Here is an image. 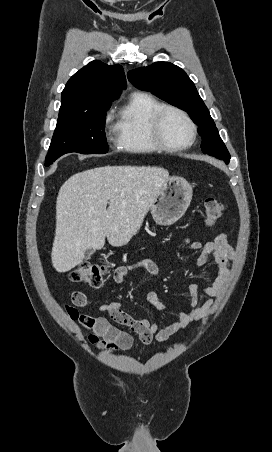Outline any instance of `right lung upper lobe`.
<instances>
[{"label": "right lung upper lobe", "instance_id": "1", "mask_svg": "<svg viewBox=\"0 0 272 452\" xmlns=\"http://www.w3.org/2000/svg\"><path fill=\"white\" fill-rule=\"evenodd\" d=\"M125 88L126 78L120 65L92 61L67 82L61 95L59 118L110 106Z\"/></svg>", "mask_w": 272, "mask_h": 452}]
</instances>
